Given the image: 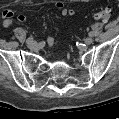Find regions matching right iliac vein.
I'll return each instance as SVG.
<instances>
[{
  "instance_id": "63e3f726",
  "label": "right iliac vein",
  "mask_w": 119,
  "mask_h": 119,
  "mask_svg": "<svg viewBox=\"0 0 119 119\" xmlns=\"http://www.w3.org/2000/svg\"><path fill=\"white\" fill-rule=\"evenodd\" d=\"M27 46L29 47V48H34L35 46H36V42L35 41H29V42H27Z\"/></svg>"
}]
</instances>
